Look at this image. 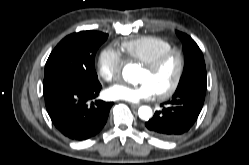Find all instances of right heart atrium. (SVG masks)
<instances>
[{
    "instance_id": "right-heart-atrium-1",
    "label": "right heart atrium",
    "mask_w": 249,
    "mask_h": 165,
    "mask_svg": "<svg viewBox=\"0 0 249 165\" xmlns=\"http://www.w3.org/2000/svg\"><path fill=\"white\" fill-rule=\"evenodd\" d=\"M123 64L121 54L113 47H106L99 54L97 73L104 81L111 82L120 76Z\"/></svg>"
}]
</instances>
